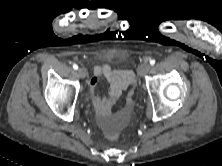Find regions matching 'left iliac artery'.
<instances>
[{"mask_svg": "<svg viewBox=\"0 0 222 166\" xmlns=\"http://www.w3.org/2000/svg\"><path fill=\"white\" fill-rule=\"evenodd\" d=\"M154 64H155V60L154 59L150 60V65H154Z\"/></svg>", "mask_w": 222, "mask_h": 166, "instance_id": "44dca946", "label": "left iliac artery"}]
</instances>
